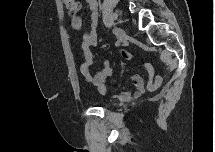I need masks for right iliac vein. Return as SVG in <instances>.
<instances>
[{
    "instance_id": "right-iliac-vein-1",
    "label": "right iliac vein",
    "mask_w": 215,
    "mask_h": 152,
    "mask_svg": "<svg viewBox=\"0 0 215 152\" xmlns=\"http://www.w3.org/2000/svg\"><path fill=\"white\" fill-rule=\"evenodd\" d=\"M114 32L119 42L123 43L126 40V33L123 29L116 27Z\"/></svg>"
}]
</instances>
